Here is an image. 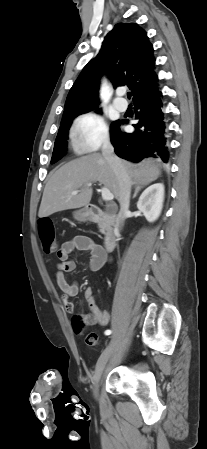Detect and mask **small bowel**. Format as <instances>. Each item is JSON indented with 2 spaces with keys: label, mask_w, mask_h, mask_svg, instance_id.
<instances>
[{
  "label": "small bowel",
  "mask_w": 207,
  "mask_h": 449,
  "mask_svg": "<svg viewBox=\"0 0 207 449\" xmlns=\"http://www.w3.org/2000/svg\"><path fill=\"white\" fill-rule=\"evenodd\" d=\"M75 250L88 251L90 253L89 268L91 271L100 270L109 260L105 249L87 236H76L72 240L62 244L58 251L60 262L56 265L55 283L61 291V298L68 313L75 311V305L69 301V298L76 296L79 292L78 283H70L68 281L69 273L76 268L75 261L70 258ZM84 297L91 309V313L85 316L86 321L89 324L107 325L110 318L109 313L98 307L91 288L85 290Z\"/></svg>",
  "instance_id": "obj_1"
}]
</instances>
